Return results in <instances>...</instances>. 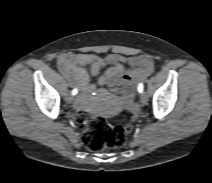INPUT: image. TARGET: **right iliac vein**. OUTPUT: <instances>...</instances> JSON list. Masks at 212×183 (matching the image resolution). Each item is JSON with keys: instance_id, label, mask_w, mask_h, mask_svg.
I'll use <instances>...</instances> for the list:
<instances>
[{"instance_id": "1", "label": "right iliac vein", "mask_w": 212, "mask_h": 183, "mask_svg": "<svg viewBox=\"0 0 212 183\" xmlns=\"http://www.w3.org/2000/svg\"><path fill=\"white\" fill-rule=\"evenodd\" d=\"M65 101L68 103V104H70V103H72V101H73V96L71 95V94H67L66 95V97H65Z\"/></svg>"}]
</instances>
